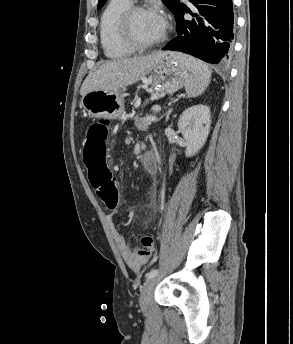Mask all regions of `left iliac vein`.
<instances>
[{"mask_svg":"<svg viewBox=\"0 0 293 344\" xmlns=\"http://www.w3.org/2000/svg\"><path fill=\"white\" fill-rule=\"evenodd\" d=\"M156 284V279L151 278L143 287L140 298L139 304L142 311H146L150 302L151 295L153 293L154 286Z\"/></svg>","mask_w":293,"mask_h":344,"instance_id":"1","label":"left iliac vein"}]
</instances>
